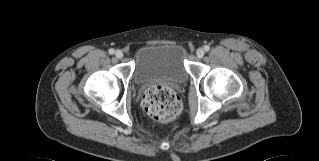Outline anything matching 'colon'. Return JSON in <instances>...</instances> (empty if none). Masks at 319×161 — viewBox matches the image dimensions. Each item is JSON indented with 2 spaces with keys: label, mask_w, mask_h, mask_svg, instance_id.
Masks as SVG:
<instances>
[{
  "label": "colon",
  "mask_w": 319,
  "mask_h": 161,
  "mask_svg": "<svg viewBox=\"0 0 319 161\" xmlns=\"http://www.w3.org/2000/svg\"><path fill=\"white\" fill-rule=\"evenodd\" d=\"M142 106L152 119L160 122L174 120L182 110L179 96L171 88L162 85L152 86L145 92Z\"/></svg>",
  "instance_id": "colon-1"
}]
</instances>
